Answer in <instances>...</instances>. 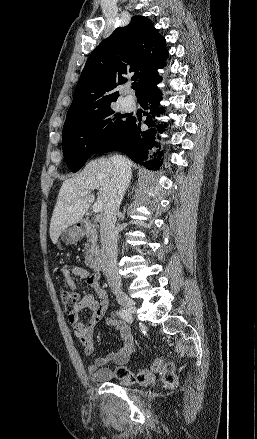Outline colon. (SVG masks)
Masks as SVG:
<instances>
[{"label": "colon", "mask_w": 257, "mask_h": 439, "mask_svg": "<svg viewBox=\"0 0 257 439\" xmlns=\"http://www.w3.org/2000/svg\"><path fill=\"white\" fill-rule=\"evenodd\" d=\"M60 298L68 312H71L79 301L78 294L68 289H61ZM115 376L122 384L125 385H131L134 383L147 385L153 380V376L149 371H139L137 373H133L126 367L118 368ZM163 377L168 386H173L175 384L176 378L170 368L164 370Z\"/></svg>", "instance_id": "5ec220e1"}]
</instances>
